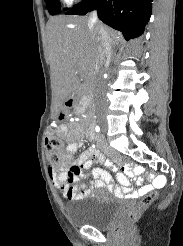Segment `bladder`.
<instances>
[{
    "label": "bladder",
    "mask_w": 183,
    "mask_h": 246,
    "mask_svg": "<svg viewBox=\"0 0 183 246\" xmlns=\"http://www.w3.org/2000/svg\"><path fill=\"white\" fill-rule=\"evenodd\" d=\"M119 209V200L106 194H97L84 208L71 212L69 217L71 223L76 227L105 228L116 217Z\"/></svg>",
    "instance_id": "1"
}]
</instances>
